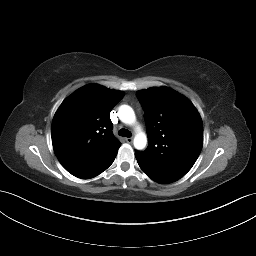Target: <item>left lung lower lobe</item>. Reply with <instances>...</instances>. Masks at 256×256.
Instances as JSON below:
<instances>
[{
	"label": "left lung lower lobe",
	"instance_id": "left-lung-lower-lobe-1",
	"mask_svg": "<svg viewBox=\"0 0 256 256\" xmlns=\"http://www.w3.org/2000/svg\"><path fill=\"white\" fill-rule=\"evenodd\" d=\"M135 156L137 158V162L140 166V168L143 170L144 173H146L152 180L158 182V183H171L174 182L178 179L173 178V177H169V176H164L158 173H154L152 171H150L140 160V158L138 157V154L135 153Z\"/></svg>",
	"mask_w": 256,
	"mask_h": 256
}]
</instances>
